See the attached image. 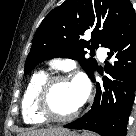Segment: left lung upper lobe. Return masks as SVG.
Masks as SVG:
<instances>
[{"label": "left lung upper lobe", "instance_id": "1", "mask_svg": "<svg viewBox=\"0 0 136 136\" xmlns=\"http://www.w3.org/2000/svg\"><path fill=\"white\" fill-rule=\"evenodd\" d=\"M131 7L129 0H66L41 22L24 73L28 74L44 60L64 57L79 60L90 77L97 62L86 59L84 49L103 47L123 23ZM84 33L91 35L90 41L82 38Z\"/></svg>", "mask_w": 136, "mask_h": 136}]
</instances>
